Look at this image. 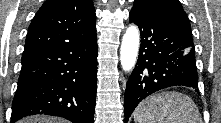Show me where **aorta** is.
Instances as JSON below:
<instances>
[{
	"label": "aorta",
	"mask_w": 221,
	"mask_h": 123,
	"mask_svg": "<svg viewBox=\"0 0 221 123\" xmlns=\"http://www.w3.org/2000/svg\"><path fill=\"white\" fill-rule=\"evenodd\" d=\"M140 44L139 30L131 25L123 35L120 48V61L124 71H130L134 68L138 56Z\"/></svg>",
	"instance_id": "762f6f07"
}]
</instances>
